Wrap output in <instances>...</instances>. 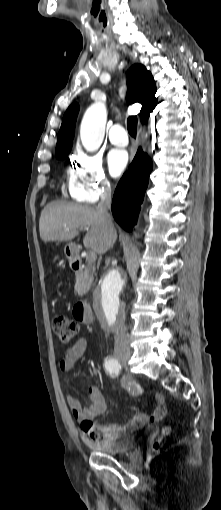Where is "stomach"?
<instances>
[{
  "label": "stomach",
  "mask_w": 221,
  "mask_h": 510,
  "mask_svg": "<svg viewBox=\"0 0 221 510\" xmlns=\"http://www.w3.org/2000/svg\"><path fill=\"white\" fill-rule=\"evenodd\" d=\"M73 248H74V245H73V244H71V243L67 244V245L65 246V253H66V254L71 253Z\"/></svg>",
  "instance_id": "0dacf381"
}]
</instances>
